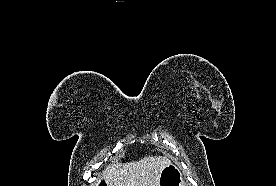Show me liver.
Instances as JSON below:
<instances>
[{
	"label": "liver",
	"mask_w": 276,
	"mask_h": 186,
	"mask_svg": "<svg viewBox=\"0 0 276 186\" xmlns=\"http://www.w3.org/2000/svg\"><path fill=\"white\" fill-rule=\"evenodd\" d=\"M171 164L165 156H148L137 162L113 163L103 171L107 186H159L162 169Z\"/></svg>",
	"instance_id": "6515ba94"
}]
</instances>
